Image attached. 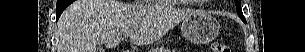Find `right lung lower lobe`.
Wrapping results in <instances>:
<instances>
[{
    "label": "right lung lower lobe",
    "instance_id": "1",
    "mask_svg": "<svg viewBox=\"0 0 305 52\" xmlns=\"http://www.w3.org/2000/svg\"><path fill=\"white\" fill-rule=\"evenodd\" d=\"M74 0H57L56 5V18L59 19L61 13L64 11V9L70 5Z\"/></svg>",
    "mask_w": 305,
    "mask_h": 52
}]
</instances>
